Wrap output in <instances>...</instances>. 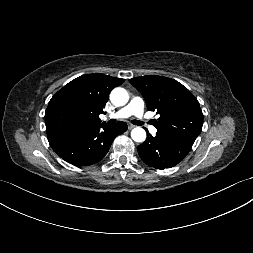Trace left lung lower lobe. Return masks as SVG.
Listing matches in <instances>:
<instances>
[{
  "mask_svg": "<svg viewBox=\"0 0 253 253\" xmlns=\"http://www.w3.org/2000/svg\"><path fill=\"white\" fill-rule=\"evenodd\" d=\"M194 141L157 132L148 133L145 142L137 147L144 163L156 169L171 168L181 162L192 148Z\"/></svg>",
  "mask_w": 253,
  "mask_h": 253,
  "instance_id": "1",
  "label": "left lung lower lobe"
}]
</instances>
